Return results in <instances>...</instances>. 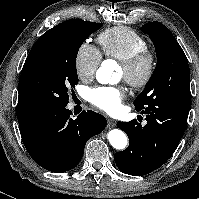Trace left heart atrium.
Returning a JSON list of instances; mask_svg holds the SVG:
<instances>
[{
    "mask_svg": "<svg viewBox=\"0 0 199 199\" xmlns=\"http://www.w3.org/2000/svg\"><path fill=\"white\" fill-rule=\"evenodd\" d=\"M89 98L101 110L109 114H117L122 106L124 91L119 88L100 87L93 89Z\"/></svg>",
    "mask_w": 199,
    "mask_h": 199,
    "instance_id": "1",
    "label": "left heart atrium"
}]
</instances>
